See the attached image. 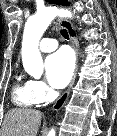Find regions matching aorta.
Here are the masks:
<instances>
[{
  "mask_svg": "<svg viewBox=\"0 0 117 136\" xmlns=\"http://www.w3.org/2000/svg\"><path fill=\"white\" fill-rule=\"evenodd\" d=\"M57 15L70 17L71 12L47 7L29 17L25 24L21 48L22 62L27 73L35 78H39L43 73V60L39 51V41ZM48 136H56L55 129L52 128Z\"/></svg>",
  "mask_w": 117,
  "mask_h": 136,
  "instance_id": "1",
  "label": "aorta"
}]
</instances>
